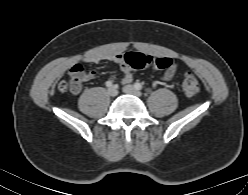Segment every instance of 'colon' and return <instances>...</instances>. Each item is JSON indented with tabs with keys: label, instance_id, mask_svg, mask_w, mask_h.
Returning <instances> with one entry per match:
<instances>
[{
	"label": "colon",
	"instance_id": "1",
	"mask_svg": "<svg viewBox=\"0 0 248 195\" xmlns=\"http://www.w3.org/2000/svg\"><path fill=\"white\" fill-rule=\"evenodd\" d=\"M123 64L128 68L141 69L153 66L158 69H168L172 66V60L167 57L145 55L138 52H128L121 55ZM84 69L76 68L69 72V78L59 83L58 89L61 92L76 93L81 89L84 79ZM182 89L187 97H193L199 92V83L196 76L186 72L182 80Z\"/></svg>",
	"mask_w": 248,
	"mask_h": 195
}]
</instances>
